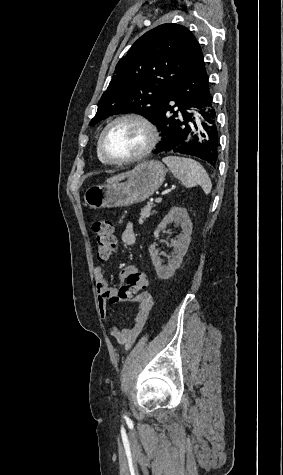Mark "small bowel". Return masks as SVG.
<instances>
[{
	"label": "small bowel",
	"instance_id": "small-bowel-1",
	"mask_svg": "<svg viewBox=\"0 0 283 475\" xmlns=\"http://www.w3.org/2000/svg\"><path fill=\"white\" fill-rule=\"evenodd\" d=\"M137 236L132 223H127L121 233V241L125 246H132L136 243ZM132 265L124 267L120 271V278L126 279L127 274H131ZM95 276V292L97 296V305L101 317L110 323L111 336L126 350L130 349L134 344L136 338L143 330L151 310L153 308V297L148 291H141L140 296H134V299L138 302V308L130 327L120 326L111 322L107 306L105 304L106 296L108 293H115L118 295L116 287L110 286L103 276L102 266H97L94 270ZM118 301V300H117ZM121 303V302H118Z\"/></svg>",
	"mask_w": 283,
	"mask_h": 475
}]
</instances>
